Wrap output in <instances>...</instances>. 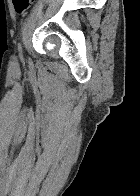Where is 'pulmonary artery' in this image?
<instances>
[{
  "label": "pulmonary artery",
  "mask_w": 140,
  "mask_h": 196,
  "mask_svg": "<svg viewBox=\"0 0 140 196\" xmlns=\"http://www.w3.org/2000/svg\"><path fill=\"white\" fill-rule=\"evenodd\" d=\"M45 192H53V191H45Z\"/></svg>",
  "instance_id": "e3ab8cb5"
}]
</instances>
